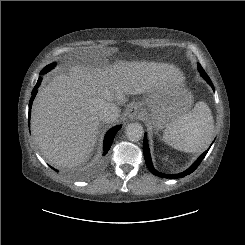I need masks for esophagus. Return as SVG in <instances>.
Returning a JSON list of instances; mask_svg holds the SVG:
<instances>
[{
  "mask_svg": "<svg viewBox=\"0 0 245 245\" xmlns=\"http://www.w3.org/2000/svg\"><path fill=\"white\" fill-rule=\"evenodd\" d=\"M140 106L137 103L132 104L128 109V117L130 120L139 118Z\"/></svg>",
  "mask_w": 245,
  "mask_h": 245,
  "instance_id": "obj_1",
  "label": "esophagus"
}]
</instances>
